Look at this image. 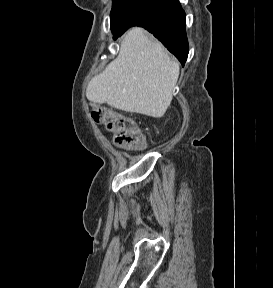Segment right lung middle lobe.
<instances>
[{
    "label": "right lung middle lobe",
    "mask_w": 273,
    "mask_h": 288,
    "mask_svg": "<svg viewBox=\"0 0 273 288\" xmlns=\"http://www.w3.org/2000/svg\"><path fill=\"white\" fill-rule=\"evenodd\" d=\"M138 0H113L110 14L111 28L116 26Z\"/></svg>",
    "instance_id": "dd1d6c3e"
}]
</instances>
